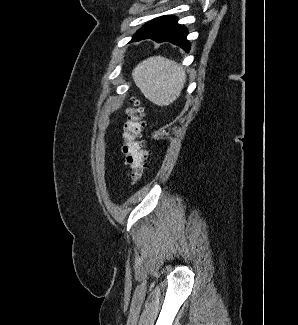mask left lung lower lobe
<instances>
[{"mask_svg":"<svg viewBox=\"0 0 298 325\" xmlns=\"http://www.w3.org/2000/svg\"><path fill=\"white\" fill-rule=\"evenodd\" d=\"M187 33V29L177 23L175 16H161L139 29L131 41H140L148 38L156 42L168 41L188 52L190 50V43L186 39Z\"/></svg>","mask_w":298,"mask_h":325,"instance_id":"left-lung-lower-lobe-1","label":"left lung lower lobe"}]
</instances>
